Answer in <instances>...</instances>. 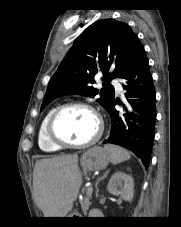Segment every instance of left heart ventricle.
<instances>
[{"instance_id":"b2bd125f","label":"left heart ventricle","mask_w":181,"mask_h":227,"mask_svg":"<svg viewBox=\"0 0 181 227\" xmlns=\"http://www.w3.org/2000/svg\"><path fill=\"white\" fill-rule=\"evenodd\" d=\"M55 131L60 138L70 143H83L95 135L97 122L93 114L86 109L68 108L58 116Z\"/></svg>"}]
</instances>
